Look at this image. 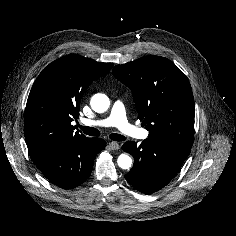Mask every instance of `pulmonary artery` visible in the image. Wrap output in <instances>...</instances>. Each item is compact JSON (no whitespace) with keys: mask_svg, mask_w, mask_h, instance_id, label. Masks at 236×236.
I'll list each match as a JSON object with an SVG mask.
<instances>
[{"mask_svg":"<svg viewBox=\"0 0 236 236\" xmlns=\"http://www.w3.org/2000/svg\"><path fill=\"white\" fill-rule=\"evenodd\" d=\"M83 124L88 127H117L124 134L139 139H146L149 135L147 130L138 128L128 121L125 106L119 100L113 104L106 118L100 120H84Z\"/></svg>","mask_w":236,"mask_h":236,"instance_id":"pulmonary-artery-1","label":"pulmonary artery"}]
</instances>
